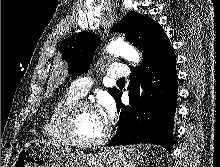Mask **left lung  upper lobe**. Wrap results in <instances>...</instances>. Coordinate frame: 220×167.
<instances>
[{"instance_id":"obj_1","label":"left lung upper lobe","mask_w":220,"mask_h":167,"mask_svg":"<svg viewBox=\"0 0 220 167\" xmlns=\"http://www.w3.org/2000/svg\"><path fill=\"white\" fill-rule=\"evenodd\" d=\"M111 31L124 32L126 39L142 52L143 62L172 50L162 27L151 18L136 12L127 13ZM98 45L99 38L95 33L79 32L66 38L61 43L59 51L62 59L68 62V72L77 76L88 71ZM108 91L114 99L120 92L116 88H109Z\"/></svg>"}]
</instances>
